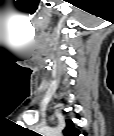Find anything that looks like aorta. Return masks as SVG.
Returning <instances> with one entry per match:
<instances>
[{
  "label": "aorta",
  "mask_w": 114,
  "mask_h": 136,
  "mask_svg": "<svg viewBox=\"0 0 114 136\" xmlns=\"http://www.w3.org/2000/svg\"><path fill=\"white\" fill-rule=\"evenodd\" d=\"M47 134H49V133H47ZM50 134H52V135H57L58 133H57V132H52V133H50Z\"/></svg>",
  "instance_id": "762f6f07"
}]
</instances>
